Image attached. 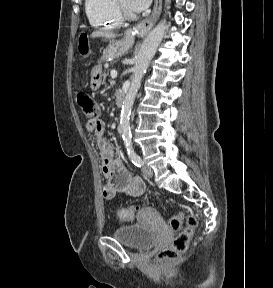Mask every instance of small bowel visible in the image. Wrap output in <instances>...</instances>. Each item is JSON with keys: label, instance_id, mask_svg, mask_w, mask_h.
I'll list each match as a JSON object with an SVG mask.
<instances>
[{"label": "small bowel", "instance_id": "c3829d8e", "mask_svg": "<svg viewBox=\"0 0 273 288\" xmlns=\"http://www.w3.org/2000/svg\"><path fill=\"white\" fill-rule=\"evenodd\" d=\"M86 129L94 132L98 150L102 158V172L106 178L102 194L105 199H112L117 194L137 197L144 193L145 184L138 176H132L120 158L115 155L111 143L106 137L104 124L97 118H90Z\"/></svg>", "mask_w": 273, "mask_h": 288}]
</instances>
